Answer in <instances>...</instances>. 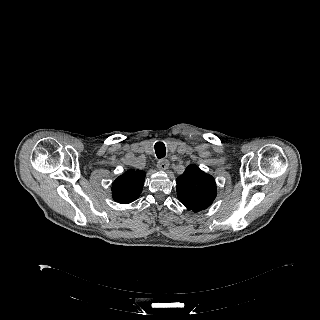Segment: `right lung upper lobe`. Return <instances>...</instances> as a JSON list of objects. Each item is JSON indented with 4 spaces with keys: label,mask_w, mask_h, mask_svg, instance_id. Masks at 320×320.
Returning <instances> with one entry per match:
<instances>
[{
    "label": "right lung upper lobe",
    "mask_w": 320,
    "mask_h": 320,
    "mask_svg": "<svg viewBox=\"0 0 320 320\" xmlns=\"http://www.w3.org/2000/svg\"><path fill=\"white\" fill-rule=\"evenodd\" d=\"M146 173L140 170H128L112 184V197L121 204H128L139 198Z\"/></svg>",
    "instance_id": "cb5924a9"
}]
</instances>
